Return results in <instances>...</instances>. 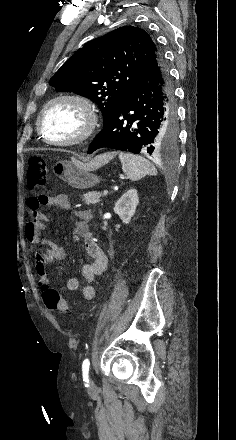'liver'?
Returning <instances> with one entry per match:
<instances>
[{"mask_svg":"<svg viewBox=\"0 0 236 440\" xmlns=\"http://www.w3.org/2000/svg\"><path fill=\"white\" fill-rule=\"evenodd\" d=\"M113 156L114 154L112 153L100 155L88 163V165L93 169H97L107 163Z\"/></svg>","mask_w":236,"mask_h":440,"instance_id":"1","label":"liver"}]
</instances>
